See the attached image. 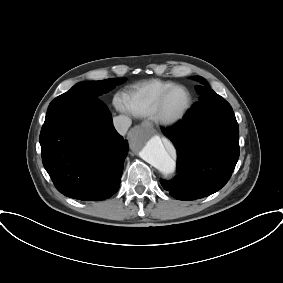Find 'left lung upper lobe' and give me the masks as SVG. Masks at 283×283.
Instances as JSON below:
<instances>
[{"label": "left lung upper lobe", "mask_w": 283, "mask_h": 283, "mask_svg": "<svg viewBox=\"0 0 283 283\" xmlns=\"http://www.w3.org/2000/svg\"><path fill=\"white\" fill-rule=\"evenodd\" d=\"M193 79L202 84L196 86L197 91L201 95L200 101H203L204 99H210V97H213L214 94H216L212 89L209 88V85L204 78L200 76H194ZM225 131L230 134H239V127L234 114L232 115L229 124L225 128Z\"/></svg>", "instance_id": "obj_1"}]
</instances>
